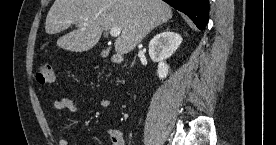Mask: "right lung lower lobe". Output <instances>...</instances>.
<instances>
[{
	"mask_svg": "<svg viewBox=\"0 0 276 145\" xmlns=\"http://www.w3.org/2000/svg\"><path fill=\"white\" fill-rule=\"evenodd\" d=\"M185 13L200 29L204 30L208 21L209 0H163Z\"/></svg>",
	"mask_w": 276,
	"mask_h": 145,
	"instance_id": "1",
	"label": "right lung lower lobe"
}]
</instances>
